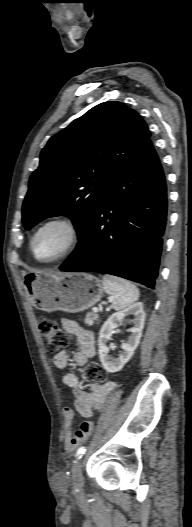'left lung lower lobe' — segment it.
I'll return each instance as SVG.
<instances>
[{"instance_id":"obj_1","label":"left lung lower lobe","mask_w":192,"mask_h":527,"mask_svg":"<svg viewBox=\"0 0 192 527\" xmlns=\"http://www.w3.org/2000/svg\"><path fill=\"white\" fill-rule=\"evenodd\" d=\"M167 220L164 172L151 141L111 183L62 271H98L154 288Z\"/></svg>"}]
</instances>
